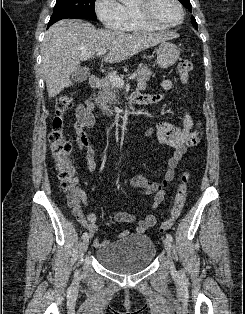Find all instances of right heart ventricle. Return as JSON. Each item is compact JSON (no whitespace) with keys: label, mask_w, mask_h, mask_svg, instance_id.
<instances>
[{"label":"right heart ventricle","mask_w":245,"mask_h":314,"mask_svg":"<svg viewBox=\"0 0 245 314\" xmlns=\"http://www.w3.org/2000/svg\"><path fill=\"white\" fill-rule=\"evenodd\" d=\"M124 12V25L120 31L123 32H134V33H143L160 30L152 25L142 22L136 15L134 6L125 5L123 6Z\"/></svg>","instance_id":"1"}]
</instances>
